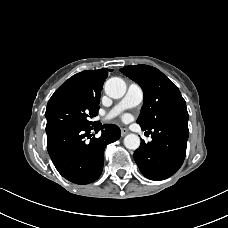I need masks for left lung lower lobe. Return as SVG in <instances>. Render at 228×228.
Masks as SVG:
<instances>
[{
	"instance_id": "0a47b994",
	"label": "left lung lower lobe",
	"mask_w": 228,
	"mask_h": 228,
	"mask_svg": "<svg viewBox=\"0 0 228 228\" xmlns=\"http://www.w3.org/2000/svg\"><path fill=\"white\" fill-rule=\"evenodd\" d=\"M147 130L152 141L141 140L134 159L142 174L151 180L169 178L181 167L189 135L188 120L171 121Z\"/></svg>"
}]
</instances>
